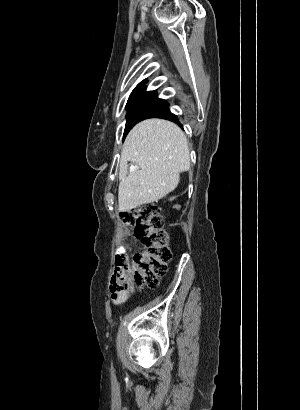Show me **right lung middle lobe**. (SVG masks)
<instances>
[{"label":"right lung middle lobe","mask_w":300,"mask_h":410,"mask_svg":"<svg viewBox=\"0 0 300 410\" xmlns=\"http://www.w3.org/2000/svg\"><path fill=\"white\" fill-rule=\"evenodd\" d=\"M145 90L144 85H138L128 99L124 138L136 123L169 107L165 100L157 98L156 91L145 92Z\"/></svg>","instance_id":"1"}]
</instances>
